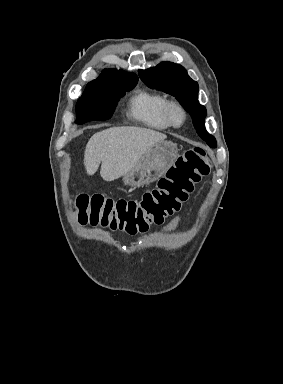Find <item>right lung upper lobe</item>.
<instances>
[{"mask_svg":"<svg viewBox=\"0 0 283 384\" xmlns=\"http://www.w3.org/2000/svg\"><path fill=\"white\" fill-rule=\"evenodd\" d=\"M137 81L138 78L135 74L116 69H104L102 74L97 79L87 84L86 88L100 87L117 83H137Z\"/></svg>","mask_w":283,"mask_h":384,"instance_id":"right-lung-upper-lobe-1","label":"right lung upper lobe"}]
</instances>
